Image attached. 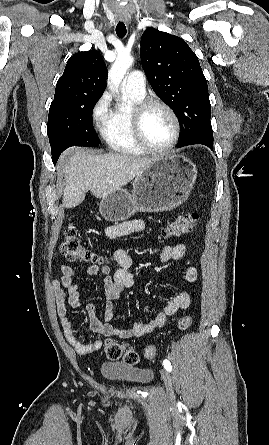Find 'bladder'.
Returning <instances> with one entry per match:
<instances>
[{"label": "bladder", "instance_id": "31cf9c89", "mask_svg": "<svg viewBox=\"0 0 269 445\" xmlns=\"http://www.w3.org/2000/svg\"><path fill=\"white\" fill-rule=\"evenodd\" d=\"M100 372L106 379L140 386L150 383L153 379L152 370L135 368L120 361L103 362Z\"/></svg>", "mask_w": 269, "mask_h": 445}]
</instances>
